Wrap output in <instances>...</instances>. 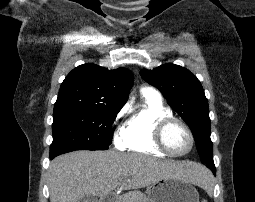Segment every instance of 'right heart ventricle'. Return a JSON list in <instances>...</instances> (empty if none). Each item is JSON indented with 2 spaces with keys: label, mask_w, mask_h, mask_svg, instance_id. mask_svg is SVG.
Masks as SVG:
<instances>
[{
  "label": "right heart ventricle",
  "mask_w": 255,
  "mask_h": 202,
  "mask_svg": "<svg viewBox=\"0 0 255 202\" xmlns=\"http://www.w3.org/2000/svg\"><path fill=\"white\" fill-rule=\"evenodd\" d=\"M172 112L160 98L143 95V106L134 112L121 131L123 146L133 152L154 156H167L154 142V129L163 118Z\"/></svg>",
  "instance_id": "1"
}]
</instances>
